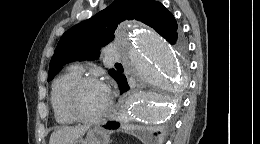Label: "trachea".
<instances>
[{"mask_svg": "<svg viewBox=\"0 0 260 144\" xmlns=\"http://www.w3.org/2000/svg\"><path fill=\"white\" fill-rule=\"evenodd\" d=\"M117 65H121L120 63H116Z\"/></svg>", "mask_w": 260, "mask_h": 144, "instance_id": "3493384b", "label": "trachea"}]
</instances>
